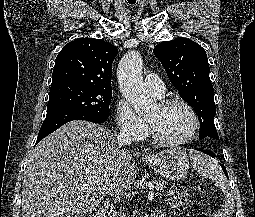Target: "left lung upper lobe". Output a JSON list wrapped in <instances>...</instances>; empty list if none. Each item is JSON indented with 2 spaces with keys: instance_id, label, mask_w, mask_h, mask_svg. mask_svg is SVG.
<instances>
[{
  "instance_id": "1",
  "label": "left lung upper lobe",
  "mask_w": 255,
  "mask_h": 217,
  "mask_svg": "<svg viewBox=\"0 0 255 217\" xmlns=\"http://www.w3.org/2000/svg\"><path fill=\"white\" fill-rule=\"evenodd\" d=\"M153 52L179 95L196 112L200 120L199 139L219 140L214 124V90L205 50L198 43L179 37L158 44Z\"/></svg>"
}]
</instances>
